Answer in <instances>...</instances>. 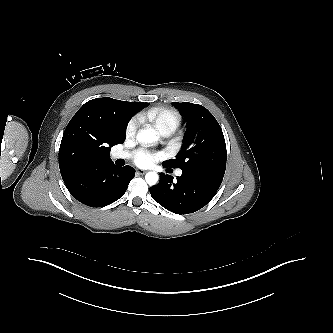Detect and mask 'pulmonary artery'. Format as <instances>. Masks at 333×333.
I'll return each mask as SVG.
<instances>
[{"mask_svg": "<svg viewBox=\"0 0 333 333\" xmlns=\"http://www.w3.org/2000/svg\"><path fill=\"white\" fill-rule=\"evenodd\" d=\"M163 135H169V134H163ZM130 156V154L127 151H115L111 154L112 159H126ZM182 174L181 170L176 171V175L180 176Z\"/></svg>", "mask_w": 333, "mask_h": 333, "instance_id": "1", "label": "pulmonary artery"}]
</instances>
